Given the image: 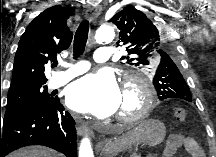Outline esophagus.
<instances>
[{
	"mask_svg": "<svg viewBox=\"0 0 216 157\" xmlns=\"http://www.w3.org/2000/svg\"><path fill=\"white\" fill-rule=\"evenodd\" d=\"M101 10V6H94L92 8H89L85 13V18L90 21L94 20L100 15ZM76 131L79 135L89 134L87 127L84 125H77Z\"/></svg>",
	"mask_w": 216,
	"mask_h": 157,
	"instance_id": "1",
	"label": "esophagus"
}]
</instances>
